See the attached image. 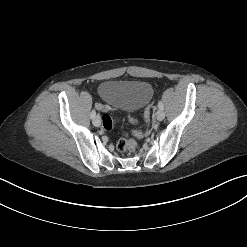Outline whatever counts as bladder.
<instances>
[{"label": "bladder", "mask_w": 247, "mask_h": 247, "mask_svg": "<svg viewBox=\"0 0 247 247\" xmlns=\"http://www.w3.org/2000/svg\"><path fill=\"white\" fill-rule=\"evenodd\" d=\"M98 93L109 106L132 112L150 101L153 89L143 81L105 80L99 84Z\"/></svg>", "instance_id": "bladder-1"}]
</instances>
